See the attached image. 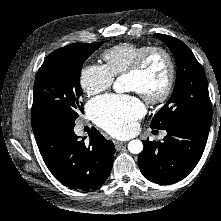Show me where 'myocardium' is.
<instances>
[{
	"mask_svg": "<svg viewBox=\"0 0 221 221\" xmlns=\"http://www.w3.org/2000/svg\"><path fill=\"white\" fill-rule=\"evenodd\" d=\"M154 55H160L164 58L167 66V73L165 76L164 85L159 93L154 95L140 93L147 102L153 104L165 101L172 93L176 78V67L171 54L161 46H148L141 52L132 66L124 74L125 76H135L141 74Z\"/></svg>",
	"mask_w": 221,
	"mask_h": 221,
	"instance_id": "obj_1",
	"label": "myocardium"
}]
</instances>
